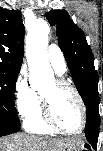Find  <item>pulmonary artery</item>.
<instances>
[{"label":"pulmonary artery","mask_w":103,"mask_h":151,"mask_svg":"<svg viewBox=\"0 0 103 151\" xmlns=\"http://www.w3.org/2000/svg\"><path fill=\"white\" fill-rule=\"evenodd\" d=\"M48 59L58 74H63L66 71V61L63 52L56 44H51L48 47Z\"/></svg>","instance_id":"obj_1"}]
</instances>
